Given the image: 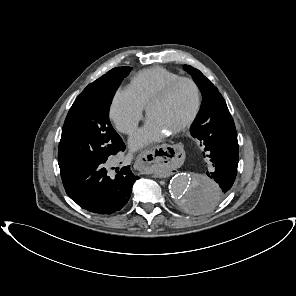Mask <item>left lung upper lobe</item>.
Masks as SVG:
<instances>
[{
    "instance_id": "5c2ea615",
    "label": "left lung upper lobe",
    "mask_w": 296,
    "mask_h": 296,
    "mask_svg": "<svg viewBox=\"0 0 296 296\" xmlns=\"http://www.w3.org/2000/svg\"><path fill=\"white\" fill-rule=\"evenodd\" d=\"M184 69L192 76L203 96L201 108L190 128L192 137L201 140L198 136L200 126L208 122L210 117L226 103L218 89L199 70L190 65H184Z\"/></svg>"
}]
</instances>
